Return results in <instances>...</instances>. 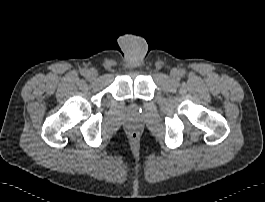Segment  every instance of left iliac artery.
Returning a JSON list of instances; mask_svg holds the SVG:
<instances>
[{
    "instance_id": "left-iliac-artery-1",
    "label": "left iliac artery",
    "mask_w": 265,
    "mask_h": 202,
    "mask_svg": "<svg viewBox=\"0 0 265 202\" xmlns=\"http://www.w3.org/2000/svg\"><path fill=\"white\" fill-rule=\"evenodd\" d=\"M180 75H184V71H180Z\"/></svg>"
}]
</instances>
